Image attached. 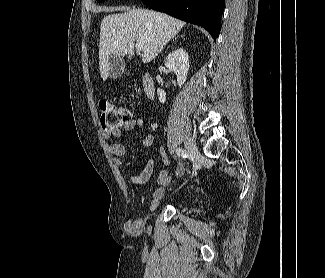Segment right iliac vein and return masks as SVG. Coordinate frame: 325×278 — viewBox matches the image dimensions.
<instances>
[{"label": "right iliac vein", "instance_id": "obj_1", "mask_svg": "<svg viewBox=\"0 0 325 278\" xmlns=\"http://www.w3.org/2000/svg\"><path fill=\"white\" fill-rule=\"evenodd\" d=\"M185 147L188 150L189 154L191 155L193 161L196 163L200 157V152L198 150L195 140L191 137H188L185 140Z\"/></svg>", "mask_w": 325, "mask_h": 278}]
</instances>
